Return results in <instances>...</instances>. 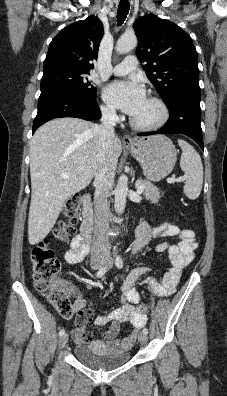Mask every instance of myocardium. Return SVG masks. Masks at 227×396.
Here are the masks:
<instances>
[{"label":"myocardium","mask_w":227,"mask_h":396,"mask_svg":"<svg viewBox=\"0 0 227 396\" xmlns=\"http://www.w3.org/2000/svg\"><path fill=\"white\" fill-rule=\"evenodd\" d=\"M148 99L159 108L160 116L155 122L148 124L139 123L133 117H131L130 124L134 129L140 131H154L163 127L169 120L170 111L164 100L154 95L150 96Z\"/></svg>","instance_id":"f54148a6"}]
</instances>
